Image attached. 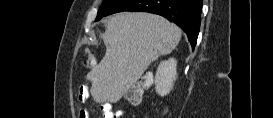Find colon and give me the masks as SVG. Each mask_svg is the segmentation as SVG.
I'll return each mask as SVG.
<instances>
[{"mask_svg": "<svg viewBox=\"0 0 273 118\" xmlns=\"http://www.w3.org/2000/svg\"><path fill=\"white\" fill-rule=\"evenodd\" d=\"M87 65L90 67L93 65L92 55L87 57ZM148 85L147 80L138 81L126 94V99L131 104H137L142 97L144 88Z\"/></svg>", "mask_w": 273, "mask_h": 118, "instance_id": "5ec220e1", "label": "colon"}]
</instances>
